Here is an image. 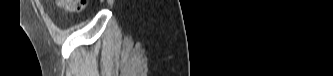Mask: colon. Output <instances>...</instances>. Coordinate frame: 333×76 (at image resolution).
I'll list each match as a JSON object with an SVG mask.
<instances>
[{
    "label": "colon",
    "mask_w": 333,
    "mask_h": 76,
    "mask_svg": "<svg viewBox=\"0 0 333 76\" xmlns=\"http://www.w3.org/2000/svg\"><path fill=\"white\" fill-rule=\"evenodd\" d=\"M87 2V0H58L57 4L61 9L79 12L85 7Z\"/></svg>",
    "instance_id": "1"
}]
</instances>
